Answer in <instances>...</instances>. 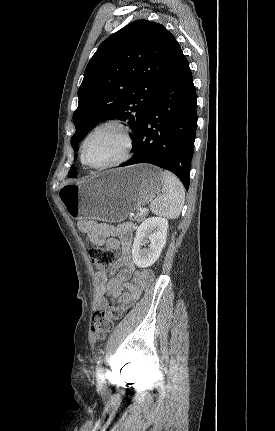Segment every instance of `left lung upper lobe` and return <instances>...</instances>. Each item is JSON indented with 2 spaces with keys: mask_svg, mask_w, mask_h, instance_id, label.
<instances>
[{
  "mask_svg": "<svg viewBox=\"0 0 275 431\" xmlns=\"http://www.w3.org/2000/svg\"><path fill=\"white\" fill-rule=\"evenodd\" d=\"M180 51L163 25L147 20L134 21L103 41L78 89L74 151L95 125L110 119L128 121L133 143ZM74 175L72 166L68 177Z\"/></svg>",
  "mask_w": 275,
  "mask_h": 431,
  "instance_id": "1",
  "label": "left lung upper lobe"
}]
</instances>
